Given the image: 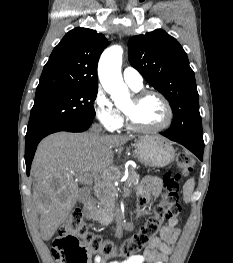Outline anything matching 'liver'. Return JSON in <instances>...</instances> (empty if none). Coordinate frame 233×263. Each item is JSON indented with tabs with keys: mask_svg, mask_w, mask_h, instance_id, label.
Segmentation results:
<instances>
[{
	"mask_svg": "<svg viewBox=\"0 0 233 263\" xmlns=\"http://www.w3.org/2000/svg\"><path fill=\"white\" fill-rule=\"evenodd\" d=\"M130 139L132 136L58 132L39 143L31 171L36 179L33 200L43 240L53 237L75 207L79 188L74 178L89 172L95 181L110 179L113 148Z\"/></svg>",
	"mask_w": 233,
	"mask_h": 263,
	"instance_id": "obj_1",
	"label": "liver"
}]
</instances>
